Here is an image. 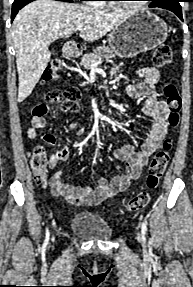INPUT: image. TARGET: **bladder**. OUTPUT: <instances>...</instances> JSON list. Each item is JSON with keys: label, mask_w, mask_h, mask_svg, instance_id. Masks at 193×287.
Instances as JSON below:
<instances>
[{"label": "bladder", "mask_w": 193, "mask_h": 287, "mask_svg": "<svg viewBox=\"0 0 193 287\" xmlns=\"http://www.w3.org/2000/svg\"><path fill=\"white\" fill-rule=\"evenodd\" d=\"M70 229L83 239L107 240L112 236V229L97 213L80 211L74 214Z\"/></svg>", "instance_id": "1"}]
</instances>
